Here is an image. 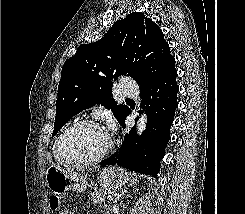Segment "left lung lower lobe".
<instances>
[{"label": "left lung lower lobe", "mask_w": 245, "mask_h": 214, "mask_svg": "<svg viewBox=\"0 0 245 214\" xmlns=\"http://www.w3.org/2000/svg\"><path fill=\"white\" fill-rule=\"evenodd\" d=\"M177 70L171 65L151 85L140 89L141 103L148 117L144 133L137 135L135 128L125 134L122 146L110 157L101 161V167L117 164L129 170L157 177L160 161L170 138V127L178 106ZM131 113L128 111L127 115ZM125 116V118L127 117ZM125 118L121 125L125 127Z\"/></svg>", "instance_id": "1"}]
</instances>
